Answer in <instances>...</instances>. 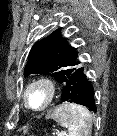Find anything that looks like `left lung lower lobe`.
I'll return each mask as SVG.
<instances>
[{
	"instance_id": "left-lung-lower-lobe-1",
	"label": "left lung lower lobe",
	"mask_w": 117,
	"mask_h": 136,
	"mask_svg": "<svg viewBox=\"0 0 117 136\" xmlns=\"http://www.w3.org/2000/svg\"><path fill=\"white\" fill-rule=\"evenodd\" d=\"M62 101L83 105L92 112L97 111L94 87L84 67H77L68 78L63 87Z\"/></svg>"
}]
</instances>
